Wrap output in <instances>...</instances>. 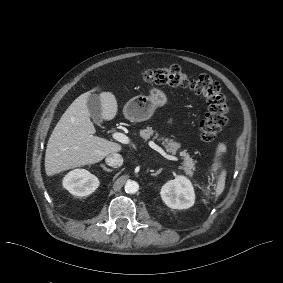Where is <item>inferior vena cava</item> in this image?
<instances>
[{
    "instance_id": "obj_1",
    "label": "inferior vena cava",
    "mask_w": 283,
    "mask_h": 283,
    "mask_svg": "<svg viewBox=\"0 0 283 283\" xmlns=\"http://www.w3.org/2000/svg\"><path fill=\"white\" fill-rule=\"evenodd\" d=\"M105 161L109 166H112L114 168H117V167H119L123 164L122 156L120 154H117V153H113V154L108 155L106 157Z\"/></svg>"
}]
</instances>
